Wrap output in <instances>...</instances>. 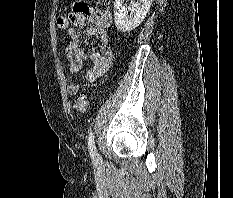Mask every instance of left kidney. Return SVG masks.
Instances as JSON below:
<instances>
[{
	"mask_svg": "<svg viewBox=\"0 0 233 198\" xmlns=\"http://www.w3.org/2000/svg\"><path fill=\"white\" fill-rule=\"evenodd\" d=\"M153 0H132L127 8L124 0H115L114 20L118 30L129 32L141 24L146 17ZM131 12L128 16V12Z\"/></svg>",
	"mask_w": 233,
	"mask_h": 198,
	"instance_id": "5707ae66",
	"label": "left kidney"
}]
</instances>
